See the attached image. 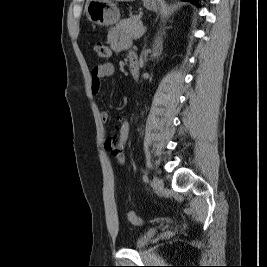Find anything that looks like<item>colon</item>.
<instances>
[{"label": "colon", "instance_id": "5ec220e1", "mask_svg": "<svg viewBox=\"0 0 267 267\" xmlns=\"http://www.w3.org/2000/svg\"><path fill=\"white\" fill-rule=\"evenodd\" d=\"M95 51L97 55L103 59H108L112 56V49L108 45L100 42L96 43ZM127 218L129 222L133 225H140L141 223L139 216L134 211H129L127 214Z\"/></svg>", "mask_w": 267, "mask_h": 267}]
</instances>
